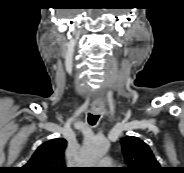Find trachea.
<instances>
[{
  "label": "trachea",
  "instance_id": "3493384b",
  "mask_svg": "<svg viewBox=\"0 0 184 173\" xmlns=\"http://www.w3.org/2000/svg\"><path fill=\"white\" fill-rule=\"evenodd\" d=\"M98 119H99V115H93V114H88V123L90 124V125H95L96 123H97V121H98Z\"/></svg>",
  "mask_w": 184,
  "mask_h": 173
}]
</instances>
